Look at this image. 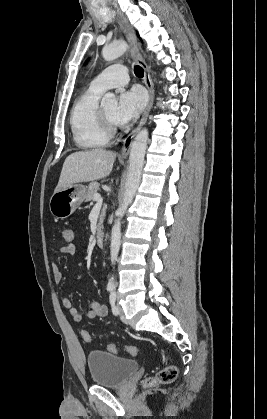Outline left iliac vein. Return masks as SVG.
Listing matches in <instances>:
<instances>
[{
    "label": "left iliac vein",
    "mask_w": 267,
    "mask_h": 419,
    "mask_svg": "<svg viewBox=\"0 0 267 419\" xmlns=\"http://www.w3.org/2000/svg\"><path fill=\"white\" fill-rule=\"evenodd\" d=\"M118 312H119V316H120V319L124 322V323H127V320H126V318H125V315H124V312H123V309H122V307L120 306V305H118Z\"/></svg>",
    "instance_id": "obj_1"
}]
</instances>
